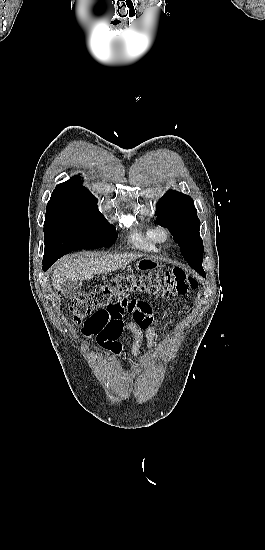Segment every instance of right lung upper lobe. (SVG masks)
Wrapping results in <instances>:
<instances>
[{
    "mask_svg": "<svg viewBox=\"0 0 265 550\" xmlns=\"http://www.w3.org/2000/svg\"><path fill=\"white\" fill-rule=\"evenodd\" d=\"M90 197L95 198L86 187L82 186L79 176L76 175L70 180L58 184L53 191L49 202H72Z\"/></svg>",
    "mask_w": 265,
    "mask_h": 550,
    "instance_id": "1",
    "label": "right lung upper lobe"
}]
</instances>
